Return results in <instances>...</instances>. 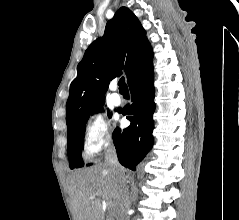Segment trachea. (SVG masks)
Returning <instances> with one entry per match:
<instances>
[{
  "label": "trachea",
  "instance_id": "1",
  "mask_svg": "<svg viewBox=\"0 0 239 220\" xmlns=\"http://www.w3.org/2000/svg\"><path fill=\"white\" fill-rule=\"evenodd\" d=\"M118 85H119V89L120 90H128V86L127 84L125 83V78L124 77H121L119 82H118Z\"/></svg>",
  "mask_w": 239,
  "mask_h": 220
}]
</instances>
